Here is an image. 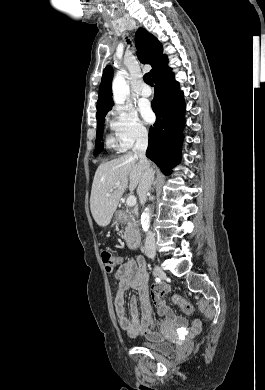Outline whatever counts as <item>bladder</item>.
Instances as JSON below:
<instances>
[{
	"label": "bladder",
	"mask_w": 265,
	"mask_h": 390,
	"mask_svg": "<svg viewBox=\"0 0 265 390\" xmlns=\"http://www.w3.org/2000/svg\"><path fill=\"white\" fill-rule=\"evenodd\" d=\"M139 344L145 348L163 353L171 352L173 349L172 343L161 340L158 337H144L140 340Z\"/></svg>",
	"instance_id": "31cf9c89"
}]
</instances>
